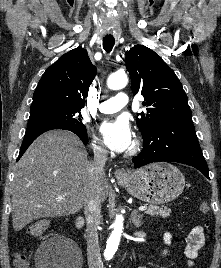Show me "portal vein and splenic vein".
I'll return each instance as SVG.
<instances>
[{"label": "portal vein and splenic vein", "mask_w": 221, "mask_h": 268, "mask_svg": "<svg viewBox=\"0 0 221 268\" xmlns=\"http://www.w3.org/2000/svg\"><path fill=\"white\" fill-rule=\"evenodd\" d=\"M58 199L61 200L62 197H59ZM138 210L139 211H145V210H147V206H140V207H138Z\"/></svg>", "instance_id": "portal-vein-and-splenic-vein-1"}]
</instances>
